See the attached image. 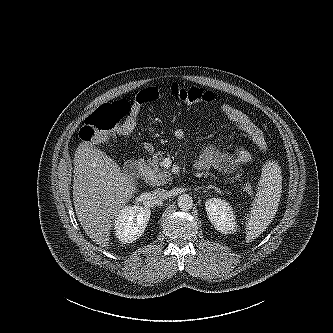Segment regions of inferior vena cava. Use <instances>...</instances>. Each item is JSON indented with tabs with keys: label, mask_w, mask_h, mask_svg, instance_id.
<instances>
[{
	"label": "inferior vena cava",
	"mask_w": 333,
	"mask_h": 333,
	"mask_svg": "<svg viewBox=\"0 0 333 333\" xmlns=\"http://www.w3.org/2000/svg\"><path fill=\"white\" fill-rule=\"evenodd\" d=\"M153 197L157 200H166L169 197V193L163 188H158L153 191Z\"/></svg>",
	"instance_id": "1"
}]
</instances>
